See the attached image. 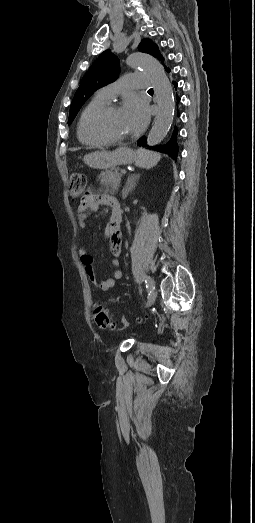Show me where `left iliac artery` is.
Here are the masks:
<instances>
[{
  "mask_svg": "<svg viewBox=\"0 0 255 523\" xmlns=\"http://www.w3.org/2000/svg\"><path fill=\"white\" fill-rule=\"evenodd\" d=\"M145 283H146V288H147V292L148 294H151L154 290H155V287H151L147 284V281L145 279Z\"/></svg>",
  "mask_w": 255,
  "mask_h": 523,
  "instance_id": "obj_1",
  "label": "left iliac artery"
}]
</instances>
